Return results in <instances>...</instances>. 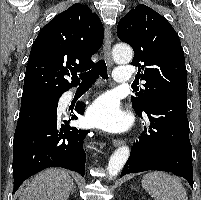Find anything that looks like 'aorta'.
<instances>
[{"label":"aorta","mask_w":201,"mask_h":200,"mask_svg":"<svg viewBox=\"0 0 201 200\" xmlns=\"http://www.w3.org/2000/svg\"><path fill=\"white\" fill-rule=\"evenodd\" d=\"M113 58L119 63H129L133 59V51L126 44H117L113 48ZM129 155L130 149L127 146H121L113 153L107 167L110 178L117 176Z\"/></svg>","instance_id":"obj_1"}]
</instances>
